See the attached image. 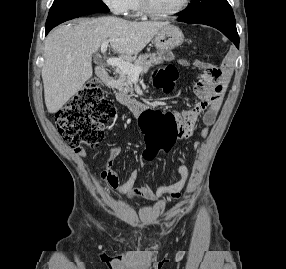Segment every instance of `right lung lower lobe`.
Masks as SVG:
<instances>
[{
    "mask_svg": "<svg viewBox=\"0 0 286 269\" xmlns=\"http://www.w3.org/2000/svg\"><path fill=\"white\" fill-rule=\"evenodd\" d=\"M52 28H45V35H47L48 34V32L51 30Z\"/></svg>",
    "mask_w": 286,
    "mask_h": 269,
    "instance_id": "right-lung-lower-lobe-1",
    "label": "right lung lower lobe"
}]
</instances>
